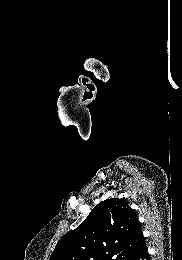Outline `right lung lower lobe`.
<instances>
[{
    "label": "right lung lower lobe",
    "mask_w": 182,
    "mask_h": 260,
    "mask_svg": "<svg viewBox=\"0 0 182 260\" xmlns=\"http://www.w3.org/2000/svg\"><path fill=\"white\" fill-rule=\"evenodd\" d=\"M122 260H149V254L145 241L130 251Z\"/></svg>",
    "instance_id": "right-lung-lower-lobe-1"
}]
</instances>
